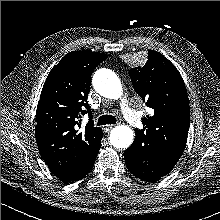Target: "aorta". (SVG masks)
<instances>
[{
  "label": "aorta",
  "instance_id": "obj_1",
  "mask_svg": "<svg viewBox=\"0 0 220 220\" xmlns=\"http://www.w3.org/2000/svg\"><path fill=\"white\" fill-rule=\"evenodd\" d=\"M94 89L105 98L118 99L122 94V86L118 77L108 69H100L93 76ZM110 143L121 149L128 148L134 139V132L129 126L119 125L110 133Z\"/></svg>",
  "mask_w": 220,
  "mask_h": 220
}]
</instances>
